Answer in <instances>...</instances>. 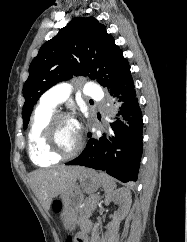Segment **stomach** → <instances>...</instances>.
<instances>
[{
  "instance_id": "obj_1",
  "label": "stomach",
  "mask_w": 187,
  "mask_h": 242,
  "mask_svg": "<svg viewBox=\"0 0 187 242\" xmlns=\"http://www.w3.org/2000/svg\"><path fill=\"white\" fill-rule=\"evenodd\" d=\"M102 184L100 174L89 168H83L72 187L61 195V222L67 230H73L81 214L84 193L96 192Z\"/></svg>"
}]
</instances>
